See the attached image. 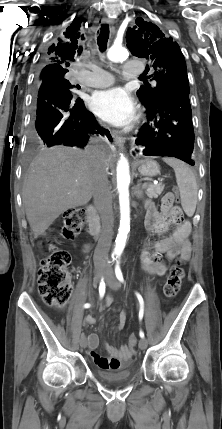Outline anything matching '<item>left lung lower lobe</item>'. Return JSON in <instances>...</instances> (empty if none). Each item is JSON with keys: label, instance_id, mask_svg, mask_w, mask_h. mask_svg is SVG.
<instances>
[{"label": "left lung lower lobe", "instance_id": "obj_1", "mask_svg": "<svg viewBox=\"0 0 222 429\" xmlns=\"http://www.w3.org/2000/svg\"><path fill=\"white\" fill-rule=\"evenodd\" d=\"M147 123L135 141L146 156H169L194 165V129L189 94L177 90L164 91L157 105H147Z\"/></svg>", "mask_w": 222, "mask_h": 429}]
</instances>
